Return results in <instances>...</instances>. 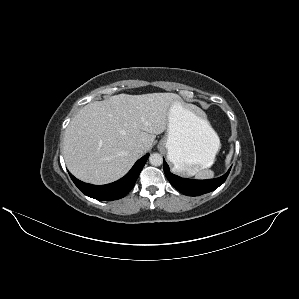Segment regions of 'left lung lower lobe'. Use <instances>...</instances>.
<instances>
[{
    "instance_id": "left-lung-lower-lobe-1",
    "label": "left lung lower lobe",
    "mask_w": 299,
    "mask_h": 299,
    "mask_svg": "<svg viewBox=\"0 0 299 299\" xmlns=\"http://www.w3.org/2000/svg\"><path fill=\"white\" fill-rule=\"evenodd\" d=\"M163 167H164L165 175L169 180V182L173 185V187H175L178 191H180L181 193L187 196H199L215 190L225 182L231 169L230 168L226 174L216 179L191 180V179H184L172 174L169 170L168 164L164 160H163Z\"/></svg>"
}]
</instances>
